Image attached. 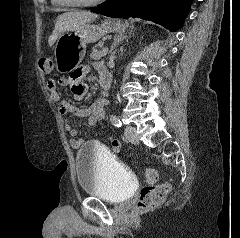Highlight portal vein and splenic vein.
Instances as JSON below:
<instances>
[{
  "mask_svg": "<svg viewBox=\"0 0 240 238\" xmlns=\"http://www.w3.org/2000/svg\"><path fill=\"white\" fill-rule=\"evenodd\" d=\"M107 52H108V48H107V47H104V48L102 49V53H103V55H106Z\"/></svg>",
  "mask_w": 240,
  "mask_h": 238,
  "instance_id": "obj_1",
  "label": "portal vein and splenic vein"
}]
</instances>
